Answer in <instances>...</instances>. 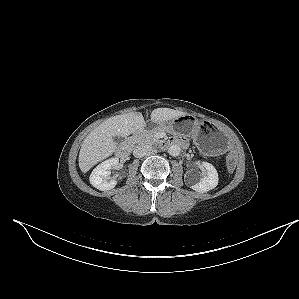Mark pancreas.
<instances>
[{"label":"pancreas","mask_w":299,"mask_h":299,"mask_svg":"<svg viewBox=\"0 0 299 299\" xmlns=\"http://www.w3.org/2000/svg\"><path fill=\"white\" fill-rule=\"evenodd\" d=\"M163 130L164 128L157 127L146 132L134 134L131 138V142L134 144H153L157 141L155 134Z\"/></svg>","instance_id":"cf45deb5"}]
</instances>
